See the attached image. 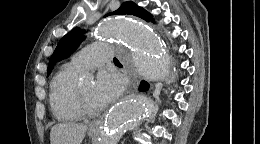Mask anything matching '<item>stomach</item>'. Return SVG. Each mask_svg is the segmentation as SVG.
<instances>
[{
  "label": "stomach",
  "mask_w": 260,
  "mask_h": 144,
  "mask_svg": "<svg viewBox=\"0 0 260 144\" xmlns=\"http://www.w3.org/2000/svg\"><path fill=\"white\" fill-rule=\"evenodd\" d=\"M96 134H97V132L92 131V130H89V132H88V135H89L90 137H95Z\"/></svg>",
  "instance_id": "0dacf381"
}]
</instances>
